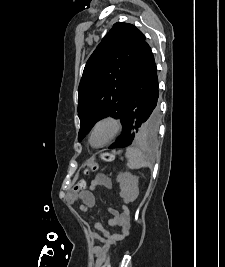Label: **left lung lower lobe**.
I'll list each match as a JSON object with an SVG mask.
<instances>
[{"label": "left lung lower lobe", "mask_w": 225, "mask_h": 267, "mask_svg": "<svg viewBox=\"0 0 225 267\" xmlns=\"http://www.w3.org/2000/svg\"><path fill=\"white\" fill-rule=\"evenodd\" d=\"M158 78L153 53L147 42L136 65L127 95L123 117V131L109 148H122L132 144L141 122H149L158 129Z\"/></svg>", "instance_id": "obj_1"}]
</instances>
